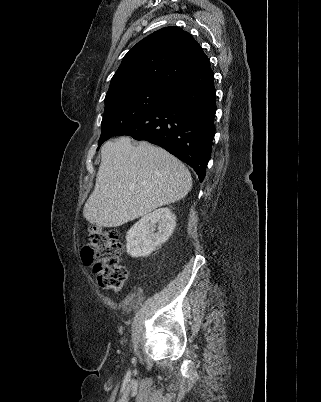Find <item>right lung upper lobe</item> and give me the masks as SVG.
<instances>
[{
    "instance_id": "obj_1",
    "label": "right lung upper lobe",
    "mask_w": 321,
    "mask_h": 402,
    "mask_svg": "<svg viewBox=\"0 0 321 402\" xmlns=\"http://www.w3.org/2000/svg\"><path fill=\"white\" fill-rule=\"evenodd\" d=\"M209 65L202 48L188 32L165 27L142 39L124 56L106 96L151 83L170 86Z\"/></svg>"
}]
</instances>
